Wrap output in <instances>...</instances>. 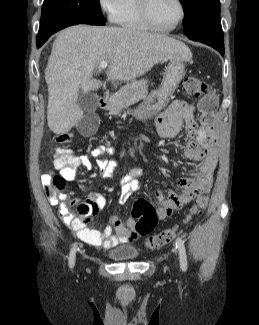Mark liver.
Returning <instances> with one entry per match:
<instances>
[{"label":"liver","instance_id":"1","mask_svg":"<svg viewBox=\"0 0 259 325\" xmlns=\"http://www.w3.org/2000/svg\"><path fill=\"white\" fill-rule=\"evenodd\" d=\"M190 49L159 33L120 27L76 25L62 30L54 40L45 70L48 85L49 129L65 134L83 117L77 105L79 89L97 90L92 78L101 61H108V80L128 82L169 59L188 61Z\"/></svg>","mask_w":259,"mask_h":325}]
</instances>
